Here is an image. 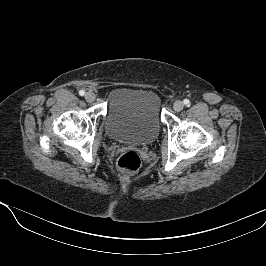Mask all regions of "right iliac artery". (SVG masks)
Listing matches in <instances>:
<instances>
[{
	"instance_id": "right-iliac-artery-1",
	"label": "right iliac artery",
	"mask_w": 266,
	"mask_h": 266,
	"mask_svg": "<svg viewBox=\"0 0 266 266\" xmlns=\"http://www.w3.org/2000/svg\"><path fill=\"white\" fill-rule=\"evenodd\" d=\"M85 94V91L84 90H80L79 91V95L83 96Z\"/></svg>"
}]
</instances>
